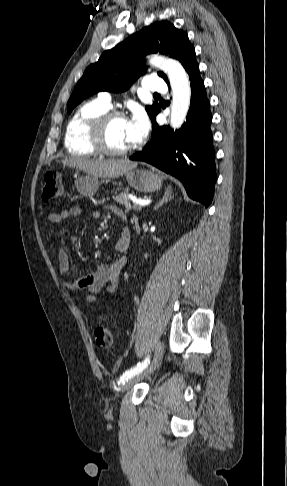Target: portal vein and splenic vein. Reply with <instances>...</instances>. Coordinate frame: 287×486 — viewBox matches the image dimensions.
Listing matches in <instances>:
<instances>
[{"label": "portal vein and splenic vein", "instance_id": "obj_1", "mask_svg": "<svg viewBox=\"0 0 287 486\" xmlns=\"http://www.w3.org/2000/svg\"><path fill=\"white\" fill-rule=\"evenodd\" d=\"M131 199H132L134 205H136L138 207H144V206L148 205V202H146V201L135 199V198H131Z\"/></svg>", "mask_w": 287, "mask_h": 486}]
</instances>
